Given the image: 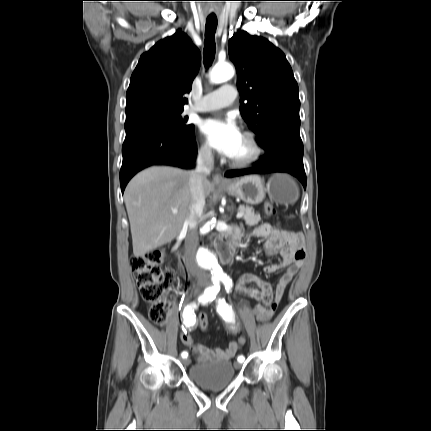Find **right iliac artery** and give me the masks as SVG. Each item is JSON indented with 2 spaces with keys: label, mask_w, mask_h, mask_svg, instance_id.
Segmentation results:
<instances>
[{
  "label": "right iliac artery",
  "mask_w": 431,
  "mask_h": 431,
  "mask_svg": "<svg viewBox=\"0 0 431 431\" xmlns=\"http://www.w3.org/2000/svg\"><path fill=\"white\" fill-rule=\"evenodd\" d=\"M217 288L219 289V285H217ZM213 288H208L204 291V293L198 298V304H206L209 301L213 300L212 298V292ZM197 308L196 303H192L187 305L183 310V319L184 324L186 327L193 326L195 323V314L194 310ZM182 358H187L188 353L186 351H183L181 354Z\"/></svg>",
  "instance_id": "1"
}]
</instances>
